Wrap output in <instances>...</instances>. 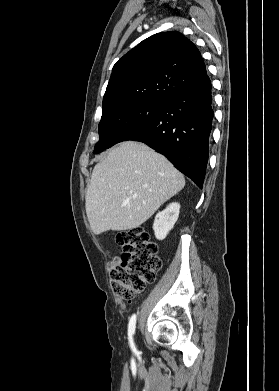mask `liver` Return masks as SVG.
Returning <instances> with one entry per match:
<instances>
[{"mask_svg": "<svg viewBox=\"0 0 279 391\" xmlns=\"http://www.w3.org/2000/svg\"><path fill=\"white\" fill-rule=\"evenodd\" d=\"M185 186L184 176L147 145L126 141L95 165L86 214L99 235L139 227Z\"/></svg>", "mask_w": 279, "mask_h": 391, "instance_id": "liver-1", "label": "liver"}]
</instances>
